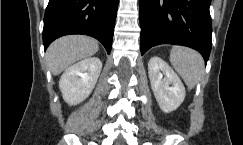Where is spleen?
Wrapping results in <instances>:
<instances>
[{
	"label": "spleen",
	"instance_id": "3e777b00",
	"mask_svg": "<svg viewBox=\"0 0 243 145\" xmlns=\"http://www.w3.org/2000/svg\"><path fill=\"white\" fill-rule=\"evenodd\" d=\"M170 62L189 89H193L204 74L202 56L188 47H173Z\"/></svg>",
	"mask_w": 243,
	"mask_h": 145
}]
</instances>
